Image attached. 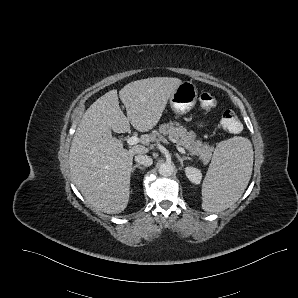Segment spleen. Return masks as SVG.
Here are the masks:
<instances>
[{
    "mask_svg": "<svg viewBox=\"0 0 298 298\" xmlns=\"http://www.w3.org/2000/svg\"><path fill=\"white\" fill-rule=\"evenodd\" d=\"M253 155L251 142L243 137L217 145L202 186L205 211H223L241 197L251 178Z\"/></svg>",
    "mask_w": 298,
    "mask_h": 298,
    "instance_id": "1",
    "label": "spleen"
}]
</instances>
